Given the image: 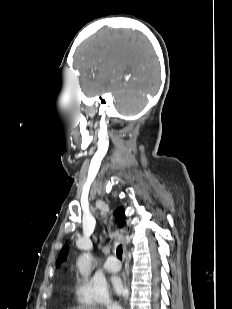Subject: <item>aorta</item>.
<instances>
[{"mask_svg": "<svg viewBox=\"0 0 232 309\" xmlns=\"http://www.w3.org/2000/svg\"><path fill=\"white\" fill-rule=\"evenodd\" d=\"M92 257L89 253H83L78 259V267L82 274H87L90 270Z\"/></svg>", "mask_w": 232, "mask_h": 309, "instance_id": "obj_1", "label": "aorta"}]
</instances>
